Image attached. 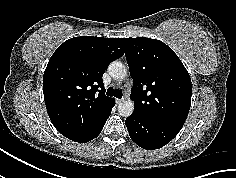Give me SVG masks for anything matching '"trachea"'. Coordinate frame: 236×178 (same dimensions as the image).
<instances>
[{
	"instance_id": "3493384b",
	"label": "trachea",
	"mask_w": 236,
	"mask_h": 178,
	"mask_svg": "<svg viewBox=\"0 0 236 178\" xmlns=\"http://www.w3.org/2000/svg\"><path fill=\"white\" fill-rule=\"evenodd\" d=\"M107 96H114L116 98H122L123 93L120 89H114L113 87H109L106 92Z\"/></svg>"
}]
</instances>
